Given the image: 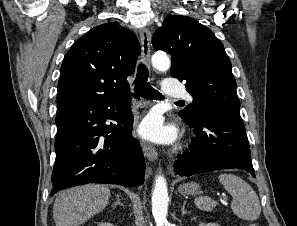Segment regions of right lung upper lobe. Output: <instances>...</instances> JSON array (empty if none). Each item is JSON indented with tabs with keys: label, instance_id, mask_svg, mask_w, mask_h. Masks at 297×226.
I'll use <instances>...</instances> for the list:
<instances>
[{
	"label": "right lung upper lobe",
	"instance_id": "cb5924a9",
	"mask_svg": "<svg viewBox=\"0 0 297 226\" xmlns=\"http://www.w3.org/2000/svg\"><path fill=\"white\" fill-rule=\"evenodd\" d=\"M140 53L136 36L117 23L94 27L66 53L58 82L57 106L84 99L129 95L126 78Z\"/></svg>",
	"mask_w": 297,
	"mask_h": 226
}]
</instances>
